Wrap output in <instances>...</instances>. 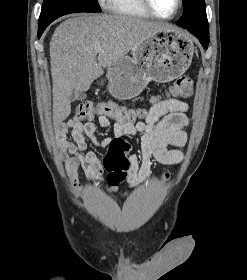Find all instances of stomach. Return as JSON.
I'll return each mask as SVG.
<instances>
[{"label":"stomach","instance_id":"stomach-1","mask_svg":"<svg viewBox=\"0 0 247 280\" xmlns=\"http://www.w3.org/2000/svg\"><path fill=\"white\" fill-rule=\"evenodd\" d=\"M195 47L182 31L170 28L141 41L107 69V88L119 100L138 96L150 81L165 83L190 66Z\"/></svg>","mask_w":247,"mask_h":280}]
</instances>
